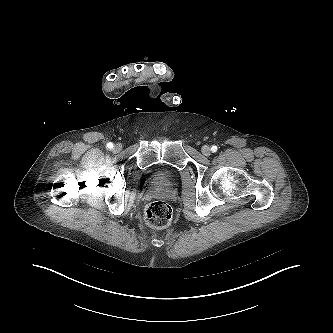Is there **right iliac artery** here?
Listing matches in <instances>:
<instances>
[{"instance_id":"1","label":"right iliac artery","mask_w":333,"mask_h":333,"mask_svg":"<svg viewBox=\"0 0 333 333\" xmlns=\"http://www.w3.org/2000/svg\"><path fill=\"white\" fill-rule=\"evenodd\" d=\"M107 147H108L109 149H112V148H113V143L109 142V143L107 144Z\"/></svg>"}]
</instances>
